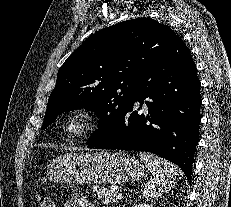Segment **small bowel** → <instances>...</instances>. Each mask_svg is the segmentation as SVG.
Returning <instances> with one entry per match:
<instances>
[{"label":"small bowel","mask_w":231,"mask_h":207,"mask_svg":"<svg viewBox=\"0 0 231 207\" xmlns=\"http://www.w3.org/2000/svg\"><path fill=\"white\" fill-rule=\"evenodd\" d=\"M64 207H96V206L91 202H89L86 197L75 194L68 201H66Z\"/></svg>","instance_id":"c3829d8e"}]
</instances>
